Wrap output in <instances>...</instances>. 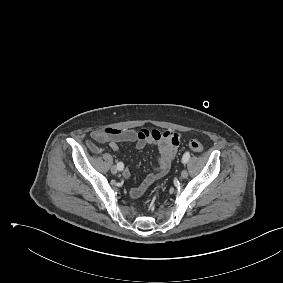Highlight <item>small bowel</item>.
Segmentation results:
<instances>
[{
    "mask_svg": "<svg viewBox=\"0 0 283 283\" xmlns=\"http://www.w3.org/2000/svg\"><path fill=\"white\" fill-rule=\"evenodd\" d=\"M91 138L99 143L108 142L113 151H118L120 142H132L137 149H142L148 144H154L158 147L157 165L150 172L144 181L138 186L130 189V195L138 198L158 179L163 177L170 169L171 163L176 155L181 135L177 132L166 130H148V129H116L105 127L94 130ZM123 175L126 178L131 176L128 169L124 170Z\"/></svg>",
    "mask_w": 283,
    "mask_h": 283,
    "instance_id": "1",
    "label": "small bowel"
}]
</instances>
